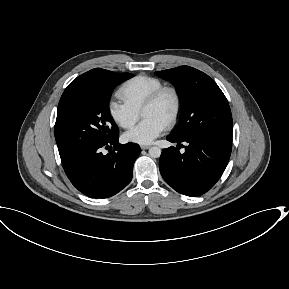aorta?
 <instances>
[{"label": "aorta", "mask_w": 289, "mask_h": 289, "mask_svg": "<svg viewBox=\"0 0 289 289\" xmlns=\"http://www.w3.org/2000/svg\"><path fill=\"white\" fill-rule=\"evenodd\" d=\"M161 155V149L159 147H151L149 149V156L152 158H159Z\"/></svg>", "instance_id": "aorta-1"}]
</instances>
